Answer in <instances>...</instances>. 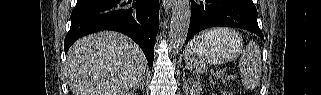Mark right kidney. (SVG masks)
<instances>
[{"instance_id": "right-kidney-1", "label": "right kidney", "mask_w": 321, "mask_h": 95, "mask_svg": "<svg viewBox=\"0 0 321 95\" xmlns=\"http://www.w3.org/2000/svg\"><path fill=\"white\" fill-rule=\"evenodd\" d=\"M128 95H134V93L129 92Z\"/></svg>"}]
</instances>
